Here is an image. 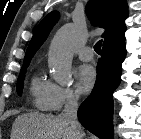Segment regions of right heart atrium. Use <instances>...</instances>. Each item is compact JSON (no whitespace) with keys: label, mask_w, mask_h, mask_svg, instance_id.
Masks as SVG:
<instances>
[{"label":"right heart atrium","mask_w":141,"mask_h":139,"mask_svg":"<svg viewBox=\"0 0 141 139\" xmlns=\"http://www.w3.org/2000/svg\"><path fill=\"white\" fill-rule=\"evenodd\" d=\"M78 99L79 95L72 87L51 83L49 110L60 111L64 107L76 104Z\"/></svg>","instance_id":"obj_1"}]
</instances>
